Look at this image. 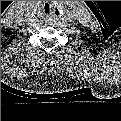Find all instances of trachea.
I'll list each match as a JSON object with an SVG mask.
<instances>
[{"instance_id": "1", "label": "trachea", "mask_w": 121, "mask_h": 121, "mask_svg": "<svg viewBox=\"0 0 121 121\" xmlns=\"http://www.w3.org/2000/svg\"><path fill=\"white\" fill-rule=\"evenodd\" d=\"M53 8L49 3H43L40 7V12L44 16H49L52 14Z\"/></svg>"}]
</instances>
